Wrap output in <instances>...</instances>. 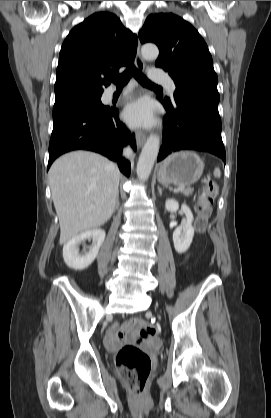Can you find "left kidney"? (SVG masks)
Instances as JSON below:
<instances>
[{"mask_svg":"<svg viewBox=\"0 0 271 418\" xmlns=\"http://www.w3.org/2000/svg\"><path fill=\"white\" fill-rule=\"evenodd\" d=\"M165 208L170 212H174L178 210L179 204L174 199H167ZM181 209L185 214L186 219L173 232L174 247L180 254L188 250L194 237V228L192 226L193 214L190 208L185 204L181 206Z\"/></svg>","mask_w":271,"mask_h":418,"instance_id":"left-kidney-1","label":"left kidney"}]
</instances>
